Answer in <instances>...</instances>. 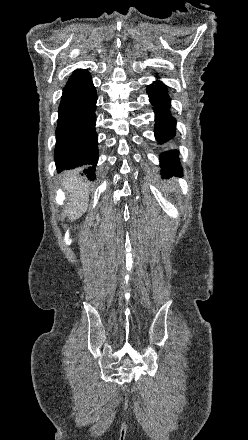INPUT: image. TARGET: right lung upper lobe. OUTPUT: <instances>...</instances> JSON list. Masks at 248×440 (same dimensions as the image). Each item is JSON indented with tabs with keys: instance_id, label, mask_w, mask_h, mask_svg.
<instances>
[{
	"instance_id": "right-lung-upper-lobe-1",
	"label": "right lung upper lobe",
	"mask_w": 248,
	"mask_h": 440,
	"mask_svg": "<svg viewBox=\"0 0 248 440\" xmlns=\"http://www.w3.org/2000/svg\"><path fill=\"white\" fill-rule=\"evenodd\" d=\"M91 80L89 72L85 69H78L73 72L64 89L84 84Z\"/></svg>"
}]
</instances>
